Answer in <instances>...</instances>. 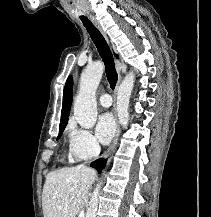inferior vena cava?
Wrapping results in <instances>:
<instances>
[{"instance_id":"1","label":"inferior vena cava","mask_w":211,"mask_h":217,"mask_svg":"<svg viewBox=\"0 0 211 217\" xmlns=\"http://www.w3.org/2000/svg\"><path fill=\"white\" fill-rule=\"evenodd\" d=\"M96 149H97V150H99V149H100V147L98 146Z\"/></svg>"}]
</instances>
